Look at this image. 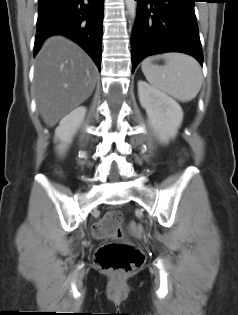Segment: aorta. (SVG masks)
Instances as JSON below:
<instances>
[{"label":"aorta","instance_id":"obj_1","mask_svg":"<svg viewBox=\"0 0 238 315\" xmlns=\"http://www.w3.org/2000/svg\"><path fill=\"white\" fill-rule=\"evenodd\" d=\"M127 10L129 12V15L131 19L134 21L136 18V13H137V2L134 0H125Z\"/></svg>","mask_w":238,"mask_h":315}]
</instances>
